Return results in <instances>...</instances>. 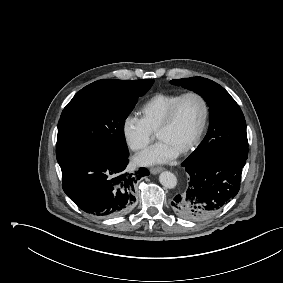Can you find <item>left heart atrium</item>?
Returning <instances> with one entry per match:
<instances>
[{
  "label": "left heart atrium",
  "mask_w": 283,
  "mask_h": 283,
  "mask_svg": "<svg viewBox=\"0 0 283 283\" xmlns=\"http://www.w3.org/2000/svg\"><path fill=\"white\" fill-rule=\"evenodd\" d=\"M179 153L169 143L160 140L157 144L139 154L136 157V162L140 165L167 163L175 159Z\"/></svg>",
  "instance_id": "39dd6f15"
}]
</instances>
